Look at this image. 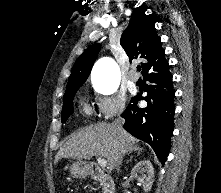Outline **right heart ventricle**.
<instances>
[{
    "label": "right heart ventricle",
    "mask_w": 221,
    "mask_h": 193,
    "mask_svg": "<svg viewBox=\"0 0 221 193\" xmlns=\"http://www.w3.org/2000/svg\"><path fill=\"white\" fill-rule=\"evenodd\" d=\"M84 110H85L86 112H89V108H88L87 106L84 108Z\"/></svg>",
    "instance_id": "e07e8e85"
}]
</instances>
